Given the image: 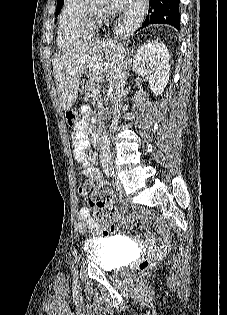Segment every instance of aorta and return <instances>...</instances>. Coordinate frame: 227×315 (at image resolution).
Listing matches in <instances>:
<instances>
[{
    "instance_id": "aorta-1",
    "label": "aorta",
    "mask_w": 227,
    "mask_h": 315,
    "mask_svg": "<svg viewBox=\"0 0 227 315\" xmlns=\"http://www.w3.org/2000/svg\"><path fill=\"white\" fill-rule=\"evenodd\" d=\"M94 1L102 2L103 0H94ZM129 30L130 28L125 26L123 29L120 30V33L122 35H126L128 34ZM100 158L106 160L107 162L112 163L110 144H109L108 135L106 132H104L101 137Z\"/></svg>"
}]
</instances>
